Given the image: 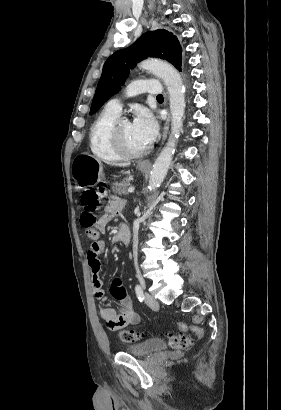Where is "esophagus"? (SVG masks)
Here are the masks:
<instances>
[{"label":"esophagus","instance_id":"1","mask_svg":"<svg viewBox=\"0 0 281 410\" xmlns=\"http://www.w3.org/2000/svg\"><path fill=\"white\" fill-rule=\"evenodd\" d=\"M169 124H170V114L168 113L164 128H163V133H162V143L165 141L167 134H168V130H169ZM139 166L141 167H150L151 166V160L146 159L143 160L139 163Z\"/></svg>","mask_w":281,"mask_h":410}]
</instances>
